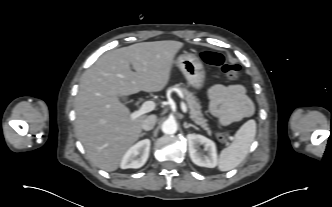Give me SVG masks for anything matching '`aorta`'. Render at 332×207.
<instances>
[{
	"mask_svg": "<svg viewBox=\"0 0 332 207\" xmlns=\"http://www.w3.org/2000/svg\"><path fill=\"white\" fill-rule=\"evenodd\" d=\"M177 123L175 120L167 119L162 124V131L165 134H174L177 131Z\"/></svg>",
	"mask_w": 332,
	"mask_h": 207,
	"instance_id": "1",
	"label": "aorta"
}]
</instances>
